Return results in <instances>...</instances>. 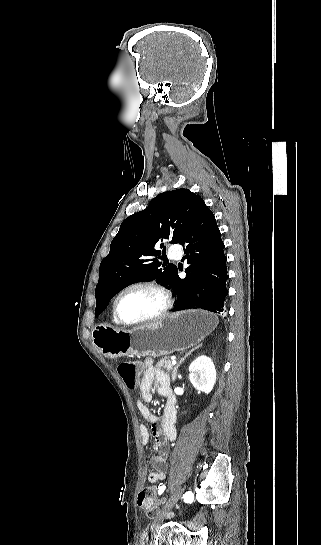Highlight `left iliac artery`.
Listing matches in <instances>:
<instances>
[{"mask_svg": "<svg viewBox=\"0 0 321 545\" xmlns=\"http://www.w3.org/2000/svg\"><path fill=\"white\" fill-rule=\"evenodd\" d=\"M165 490V485L159 487V494H162Z\"/></svg>", "mask_w": 321, "mask_h": 545, "instance_id": "left-iliac-artery-1", "label": "left iliac artery"}]
</instances>
